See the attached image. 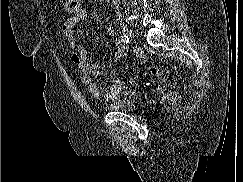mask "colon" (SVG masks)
<instances>
[{"mask_svg": "<svg viewBox=\"0 0 243 182\" xmlns=\"http://www.w3.org/2000/svg\"><path fill=\"white\" fill-rule=\"evenodd\" d=\"M63 8L67 13L74 14L79 9V0H64ZM151 73L153 75H157L159 73V69L157 67H153L151 69Z\"/></svg>", "mask_w": 243, "mask_h": 182, "instance_id": "colon-1", "label": "colon"}]
</instances>
